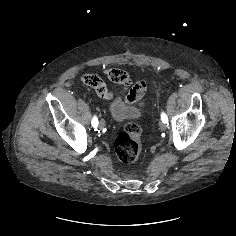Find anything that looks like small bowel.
<instances>
[{"instance_id": "1", "label": "small bowel", "mask_w": 236, "mask_h": 236, "mask_svg": "<svg viewBox=\"0 0 236 236\" xmlns=\"http://www.w3.org/2000/svg\"><path fill=\"white\" fill-rule=\"evenodd\" d=\"M103 74L111 81H114V82L122 85L125 89H128L132 86V81H131L129 75L123 70L106 69L103 71ZM83 83L85 85L93 88L98 93L99 96H101L103 98L110 97V93L108 92L104 83L96 75H92V74L85 75L83 77ZM121 104L124 107H129L132 104V99L129 96H124L121 99Z\"/></svg>"}]
</instances>
